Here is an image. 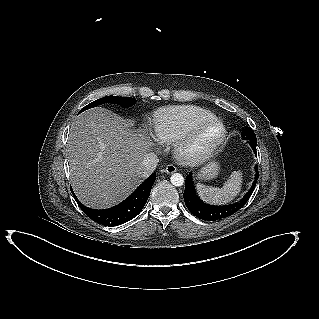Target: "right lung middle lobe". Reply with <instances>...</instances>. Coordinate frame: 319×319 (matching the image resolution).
<instances>
[{
  "label": "right lung middle lobe",
  "instance_id": "right-lung-middle-lobe-1",
  "mask_svg": "<svg viewBox=\"0 0 319 319\" xmlns=\"http://www.w3.org/2000/svg\"><path fill=\"white\" fill-rule=\"evenodd\" d=\"M135 102H136V100L131 98V97L107 96V97L100 98V99L88 104L87 106L82 108L79 113H81L84 110H87V109L92 108V107H96V106L104 104V103H112V104H118L122 107H130Z\"/></svg>",
  "mask_w": 319,
  "mask_h": 319
}]
</instances>
